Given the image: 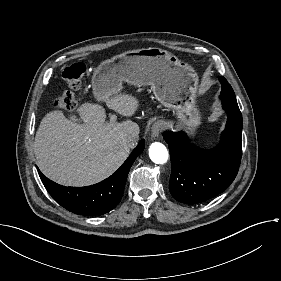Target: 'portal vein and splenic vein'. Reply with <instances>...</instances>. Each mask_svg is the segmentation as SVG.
Wrapping results in <instances>:
<instances>
[{
  "label": "portal vein and splenic vein",
  "instance_id": "obj_1",
  "mask_svg": "<svg viewBox=\"0 0 281 281\" xmlns=\"http://www.w3.org/2000/svg\"><path fill=\"white\" fill-rule=\"evenodd\" d=\"M109 123H110V124L115 123V119H114V117H112V118H110V119H109Z\"/></svg>",
  "mask_w": 281,
  "mask_h": 281
}]
</instances>
